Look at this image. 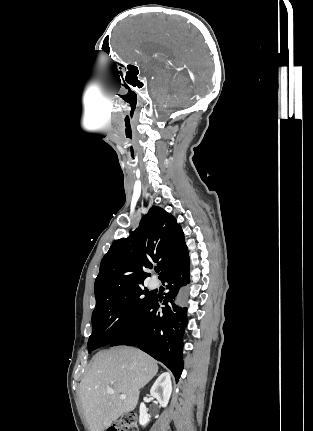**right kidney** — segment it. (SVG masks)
I'll use <instances>...</instances> for the list:
<instances>
[{"mask_svg": "<svg viewBox=\"0 0 313 431\" xmlns=\"http://www.w3.org/2000/svg\"><path fill=\"white\" fill-rule=\"evenodd\" d=\"M172 393L171 375L167 372L162 373L153 384L150 394L157 399L162 407H166ZM139 423L141 426H146L150 421V415L147 413V408L144 403L140 404Z\"/></svg>", "mask_w": 313, "mask_h": 431, "instance_id": "1", "label": "right kidney"}]
</instances>
